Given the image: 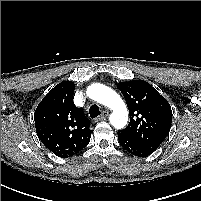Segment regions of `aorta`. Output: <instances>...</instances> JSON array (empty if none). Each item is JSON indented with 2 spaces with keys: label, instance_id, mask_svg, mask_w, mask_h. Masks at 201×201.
<instances>
[{
  "label": "aorta",
  "instance_id": "obj_1",
  "mask_svg": "<svg viewBox=\"0 0 201 201\" xmlns=\"http://www.w3.org/2000/svg\"><path fill=\"white\" fill-rule=\"evenodd\" d=\"M87 95L94 101L112 110L110 123L117 129H122L128 122V111L124 101L111 88L103 84H92L87 89Z\"/></svg>",
  "mask_w": 201,
  "mask_h": 201
}]
</instances>
